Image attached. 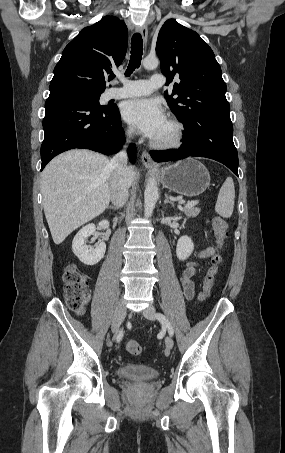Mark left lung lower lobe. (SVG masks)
Masks as SVG:
<instances>
[{
    "label": "left lung lower lobe",
    "instance_id": "0a47b994",
    "mask_svg": "<svg viewBox=\"0 0 285 453\" xmlns=\"http://www.w3.org/2000/svg\"><path fill=\"white\" fill-rule=\"evenodd\" d=\"M185 133L179 149L151 151L156 162L176 161L189 156L214 159L238 176V154L233 143V126L228 117L198 116L183 123Z\"/></svg>",
    "mask_w": 285,
    "mask_h": 453
}]
</instances>
